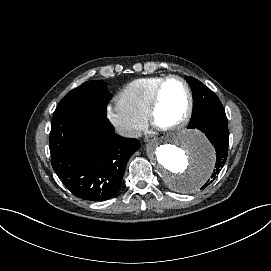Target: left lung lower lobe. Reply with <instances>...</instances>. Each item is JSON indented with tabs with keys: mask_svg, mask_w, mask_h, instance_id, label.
<instances>
[{
	"mask_svg": "<svg viewBox=\"0 0 271 271\" xmlns=\"http://www.w3.org/2000/svg\"><path fill=\"white\" fill-rule=\"evenodd\" d=\"M190 129H199L205 133L206 137L214 144L216 150V164L211 181L216 178L226 163L228 154L229 131L227 118L223 106H211L203 111L199 119L192 125ZM210 180L204 184L202 189L209 185Z\"/></svg>",
	"mask_w": 271,
	"mask_h": 271,
	"instance_id": "0a47b994",
	"label": "left lung lower lobe"
}]
</instances>
